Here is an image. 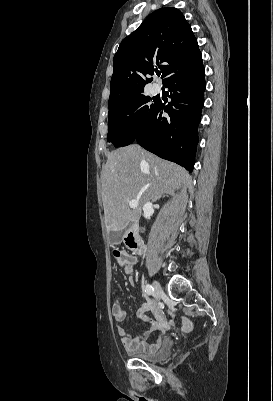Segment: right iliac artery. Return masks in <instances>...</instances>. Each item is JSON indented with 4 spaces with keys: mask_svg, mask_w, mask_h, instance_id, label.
Masks as SVG:
<instances>
[{
    "mask_svg": "<svg viewBox=\"0 0 273 401\" xmlns=\"http://www.w3.org/2000/svg\"><path fill=\"white\" fill-rule=\"evenodd\" d=\"M144 291H145V293H146L147 295H151V294L153 293L154 289H153V287H152L150 284H147V285L144 287Z\"/></svg>",
    "mask_w": 273,
    "mask_h": 401,
    "instance_id": "1",
    "label": "right iliac artery"
}]
</instances>
